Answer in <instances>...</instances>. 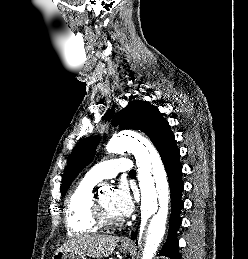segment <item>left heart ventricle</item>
I'll list each match as a JSON object with an SVG mask.
<instances>
[{
  "label": "left heart ventricle",
  "mask_w": 248,
  "mask_h": 259,
  "mask_svg": "<svg viewBox=\"0 0 248 259\" xmlns=\"http://www.w3.org/2000/svg\"><path fill=\"white\" fill-rule=\"evenodd\" d=\"M112 192L111 191H107L104 193H101L99 195V199L103 205V208L107 214V216L110 219H119L121 218L116 211L114 210L113 204H112Z\"/></svg>",
  "instance_id": "obj_1"
}]
</instances>
